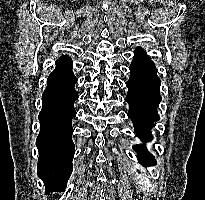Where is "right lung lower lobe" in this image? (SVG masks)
<instances>
[{
    "label": "right lung lower lobe",
    "instance_id": "1",
    "mask_svg": "<svg viewBox=\"0 0 205 200\" xmlns=\"http://www.w3.org/2000/svg\"><path fill=\"white\" fill-rule=\"evenodd\" d=\"M72 66L69 56L59 58L42 94V110L38 116L41 130L36 140L37 173L47 192L64 190L72 172L75 146L71 120L76 115L74 102L78 99Z\"/></svg>",
    "mask_w": 205,
    "mask_h": 200
}]
</instances>
